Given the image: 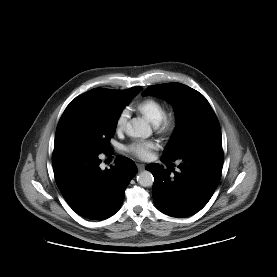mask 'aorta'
Returning a JSON list of instances; mask_svg holds the SVG:
<instances>
[{"label": "aorta", "instance_id": "762f6f07", "mask_svg": "<svg viewBox=\"0 0 277 277\" xmlns=\"http://www.w3.org/2000/svg\"><path fill=\"white\" fill-rule=\"evenodd\" d=\"M126 133L135 138H147L152 134V130L143 119L133 118L126 126ZM137 182L143 187H151L154 183V177L151 172L144 170L137 175Z\"/></svg>", "mask_w": 277, "mask_h": 277}]
</instances>
